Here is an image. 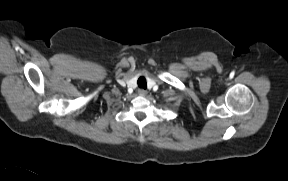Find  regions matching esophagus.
Masks as SVG:
<instances>
[{
    "instance_id": "34e87169",
    "label": "esophagus",
    "mask_w": 288,
    "mask_h": 181,
    "mask_svg": "<svg viewBox=\"0 0 288 181\" xmlns=\"http://www.w3.org/2000/svg\"><path fill=\"white\" fill-rule=\"evenodd\" d=\"M138 94L141 96H145L147 94V92L144 89H139Z\"/></svg>"
}]
</instances>
